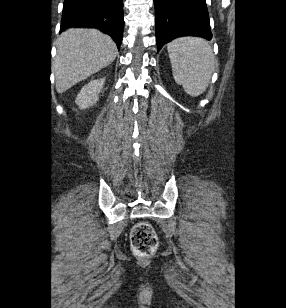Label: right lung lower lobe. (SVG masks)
Masks as SVG:
<instances>
[{
    "label": "right lung lower lobe",
    "instance_id": "right-lung-lower-lobe-1",
    "mask_svg": "<svg viewBox=\"0 0 286 308\" xmlns=\"http://www.w3.org/2000/svg\"><path fill=\"white\" fill-rule=\"evenodd\" d=\"M73 27L100 29L120 48L124 27L122 0H65L60 32Z\"/></svg>",
    "mask_w": 286,
    "mask_h": 308
}]
</instances>
